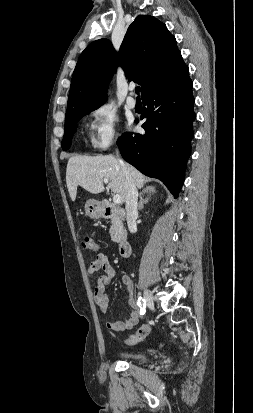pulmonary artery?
Returning <instances> with one entry per match:
<instances>
[{"label":"pulmonary artery","instance_id":"obj_1","mask_svg":"<svg viewBox=\"0 0 253 413\" xmlns=\"http://www.w3.org/2000/svg\"><path fill=\"white\" fill-rule=\"evenodd\" d=\"M133 90L134 89L132 87L129 89L130 95L127 97V100H126L127 106L130 109H134L136 107V100L132 96Z\"/></svg>","mask_w":253,"mask_h":413}]
</instances>
